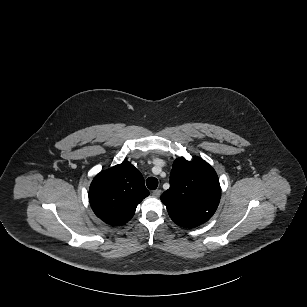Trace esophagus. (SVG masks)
<instances>
[{
	"label": "esophagus",
	"mask_w": 307,
	"mask_h": 307,
	"mask_svg": "<svg viewBox=\"0 0 307 307\" xmlns=\"http://www.w3.org/2000/svg\"><path fill=\"white\" fill-rule=\"evenodd\" d=\"M161 195V190L160 189H157V190H154L153 192H152V196H154V197H159Z\"/></svg>",
	"instance_id": "obj_1"
}]
</instances>
